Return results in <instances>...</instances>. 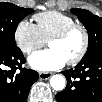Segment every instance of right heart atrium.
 <instances>
[{"instance_id": "1", "label": "right heart atrium", "mask_w": 102, "mask_h": 102, "mask_svg": "<svg viewBox=\"0 0 102 102\" xmlns=\"http://www.w3.org/2000/svg\"><path fill=\"white\" fill-rule=\"evenodd\" d=\"M14 40L24 54H30L45 44L36 25L28 19H21L18 22L14 31Z\"/></svg>"}]
</instances>
